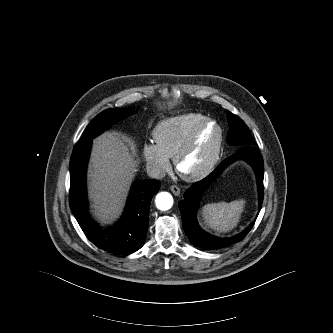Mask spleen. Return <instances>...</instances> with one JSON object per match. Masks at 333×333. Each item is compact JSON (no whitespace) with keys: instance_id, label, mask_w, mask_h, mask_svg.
Returning <instances> with one entry per match:
<instances>
[{"instance_id":"3e777b00","label":"spleen","mask_w":333,"mask_h":333,"mask_svg":"<svg viewBox=\"0 0 333 333\" xmlns=\"http://www.w3.org/2000/svg\"><path fill=\"white\" fill-rule=\"evenodd\" d=\"M245 203L244 199H240L230 203L207 204L202 208V217L209 228L218 233H226L238 225Z\"/></svg>"}]
</instances>
